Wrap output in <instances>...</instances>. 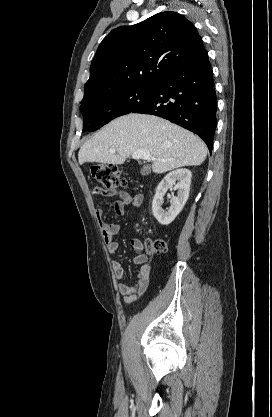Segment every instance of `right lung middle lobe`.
Segmentation results:
<instances>
[{
  "mask_svg": "<svg viewBox=\"0 0 272 417\" xmlns=\"http://www.w3.org/2000/svg\"><path fill=\"white\" fill-rule=\"evenodd\" d=\"M156 90V84L138 85L121 89L100 97L81 101L84 118L83 129L95 131L112 119L131 113L148 101Z\"/></svg>",
  "mask_w": 272,
  "mask_h": 417,
  "instance_id": "dd1d6c3e",
  "label": "right lung middle lobe"
}]
</instances>
